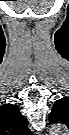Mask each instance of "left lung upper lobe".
I'll return each instance as SVG.
<instances>
[{"instance_id":"left-lung-upper-lobe-1","label":"left lung upper lobe","mask_w":69,"mask_h":135,"mask_svg":"<svg viewBox=\"0 0 69 135\" xmlns=\"http://www.w3.org/2000/svg\"><path fill=\"white\" fill-rule=\"evenodd\" d=\"M68 108L69 100L67 98L57 100L49 115V122L52 124L56 122H65L64 119L69 115Z\"/></svg>"}]
</instances>
